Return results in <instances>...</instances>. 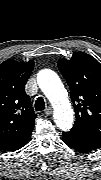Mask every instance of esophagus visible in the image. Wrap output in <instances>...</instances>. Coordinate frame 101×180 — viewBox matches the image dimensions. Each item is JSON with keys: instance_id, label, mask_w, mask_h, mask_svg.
<instances>
[{"instance_id": "obj_1", "label": "esophagus", "mask_w": 101, "mask_h": 180, "mask_svg": "<svg viewBox=\"0 0 101 180\" xmlns=\"http://www.w3.org/2000/svg\"><path fill=\"white\" fill-rule=\"evenodd\" d=\"M45 114L47 116L51 115L52 114V109L50 107H47L46 110H45Z\"/></svg>"}]
</instances>
